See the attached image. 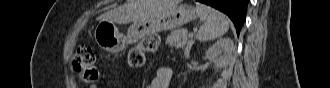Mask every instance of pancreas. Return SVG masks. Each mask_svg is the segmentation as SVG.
Listing matches in <instances>:
<instances>
[{
	"instance_id": "1",
	"label": "pancreas",
	"mask_w": 330,
	"mask_h": 88,
	"mask_svg": "<svg viewBox=\"0 0 330 88\" xmlns=\"http://www.w3.org/2000/svg\"><path fill=\"white\" fill-rule=\"evenodd\" d=\"M166 43L169 46H174L176 49H182L188 43V33L186 29H177L170 33L166 38Z\"/></svg>"
}]
</instances>
